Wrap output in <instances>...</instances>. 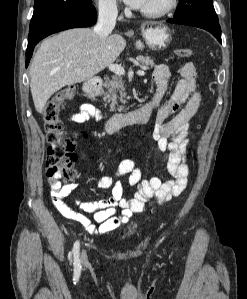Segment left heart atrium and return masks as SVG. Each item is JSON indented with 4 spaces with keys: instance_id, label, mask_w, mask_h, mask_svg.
<instances>
[{
    "instance_id": "39dd6f15",
    "label": "left heart atrium",
    "mask_w": 247,
    "mask_h": 299,
    "mask_svg": "<svg viewBox=\"0 0 247 299\" xmlns=\"http://www.w3.org/2000/svg\"><path fill=\"white\" fill-rule=\"evenodd\" d=\"M123 1L133 8H142L146 2V0H123Z\"/></svg>"
}]
</instances>
